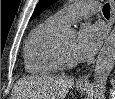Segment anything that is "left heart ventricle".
Returning a JSON list of instances; mask_svg holds the SVG:
<instances>
[{
    "mask_svg": "<svg viewBox=\"0 0 115 99\" xmlns=\"http://www.w3.org/2000/svg\"><path fill=\"white\" fill-rule=\"evenodd\" d=\"M75 38H69L63 42H61L59 45L63 52L71 59L77 60L74 54V47H75Z\"/></svg>",
    "mask_w": 115,
    "mask_h": 99,
    "instance_id": "b2bd125f",
    "label": "left heart ventricle"
}]
</instances>
